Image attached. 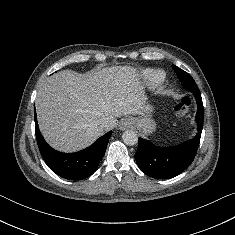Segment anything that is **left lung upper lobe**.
<instances>
[{
	"label": "left lung upper lobe",
	"instance_id": "5c2ea615",
	"mask_svg": "<svg viewBox=\"0 0 235 235\" xmlns=\"http://www.w3.org/2000/svg\"><path fill=\"white\" fill-rule=\"evenodd\" d=\"M172 68L174 69V71L176 72L180 82L182 83V80H186L188 81V83L195 89V90H199L198 86L196 85L195 81L193 80V78L185 71H183L182 69L178 68L175 65H172Z\"/></svg>",
	"mask_w": 235,
	"mask_h": 235
}]
</instances>
